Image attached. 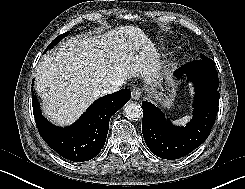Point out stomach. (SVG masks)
I'll return each mask as SVG.
<instances>
[{
  "label": "stomach",
  "instance_id": "0dacf381",
  "mask_svg": "<svg viewBox=\"0 0 245 189\" xmlns=\"http://www.w3.org/2000/svg\"><path fill=\"white\" fill-rule=\"evenodd\" d=\"M147 91L163 108L169 109L176 97V83L170 78L169 71L160 69L156 82L149 85Z\"/></svg>",
  "mask_w": 245,
  "mask_h": 189
}]
</instances>
